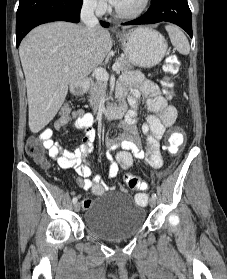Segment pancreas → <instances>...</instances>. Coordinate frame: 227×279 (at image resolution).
I'll list each match as a JSON object with an SVG mask.
<instances>
[{
	"mask_svg": "<svg viewBox=\"0 0 227 279\" xmlns=\"http://www.w3.org/2000/svg\"><path fill=\"white\" fill-rule=\"evenodd\" d=\"M115 63L120 65L121 71H129L133 69V65L124 57L116 59ZM106 89L107 81L101 79L91 81L89 87V102L94 109L99 107L101 100L105 97Z\"/></svg>",
	"mask_w": 227,
	"mask_h": 279,
	"instance_id": "pancreas-1",
	"label": "pancreas"
}]
</instances>
